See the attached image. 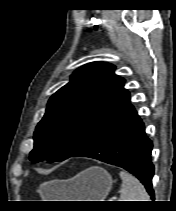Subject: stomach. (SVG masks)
Returning <instances> with one entry per match:
<instances>
[{
    "label": "stomach",
    "mask_w": 176,
    "mask_h": 211,
    "mask_svg": "<svg viewBox=\"0 0 176 211\" xmlns=\"http://www.w3.org/2000/svg\"><path fill=\"white\" fill-rule=\"evenodd\" d=\"M113 184L103 168L90 167L71 180H54L43 184V193L55 201H104Z\"/></svg>",
    "instance_id": "1"
}]
</instances>
